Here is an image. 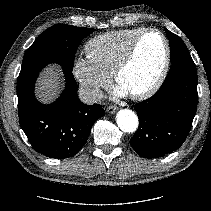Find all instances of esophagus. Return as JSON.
Segmentation results:
<instances>
[{
  "label": "esophagus",
  "mask_w": 211,
  "mask_h": 211,
  "mask_svg": "<svg viewBox=\"0 0 211 211\" xmlns=\"http://www.w3.org/2000/svg\"><path fill=\"white\" fill-rule=\"evenodd\" d=\"M117 110H118V107H116V106H109V107H107V109H106L107 113H109V114H113V113H115Z\"/></svg>",
  "instance_id": "34e87169"
}]
</instances>
